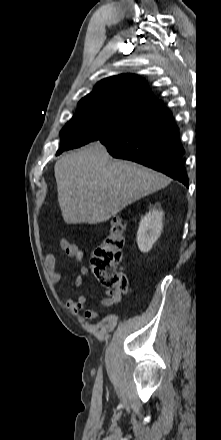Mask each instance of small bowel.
Segmentation results:
<instances>
[{
  "label": "small bowel",
  "instance_id": "1",
  "mask_svg": "<svg viewBox=\"0 0 221 440\" xmlns=\"http://www.w3.org/2000/svg\"><path fill=\"white\" fill-rule=\"evenodd\" d=\"M58 247L64 252V254L75 260L76 262H82L84 259L83 251L75 244L71 243L68 240H60L58 241ZM44 265L49 273L53 282H59L62 278V274L56 270V257L51 252H46L44 254ZM89 274V269L86 266H82L80 268V273L76 277L74 281V285L76 287L82 286L84 283V278ZM121 300V295L117 294L113 291H107L106 295L102 297L99 301V304L106 308H111L115 304H117ZM87 298L84 294H79L76 300L69 299L66 301V308L74 315H80V312L83 313V316L86 319L95 320L99 317L98 312L88 309L86 307Z\"/></svg>",
  "mask_w": 221,
  "mask_h": 440
}]
</instances>
